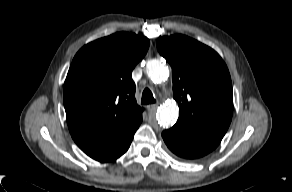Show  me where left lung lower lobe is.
<instances>
[{
  "label": "left lung lower lobe",
  "instance_id": "0a47b994",
  "mask_svg": "<svg viewBox=\"0 0 292 192\" xmlns=\"http://www.w3.org/2000/svg\"><path fill=\"white\" fill-rule=\"evenodd\" d=\"M167 147L178 157L196 159L214 150L220 140L194 135L174 128L162 132Z\"/></svg>",
  "mask_w": 292,
  "mask_h": 192
}]
</instances>
